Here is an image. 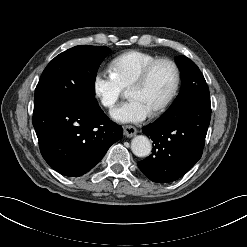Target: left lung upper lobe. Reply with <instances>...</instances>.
Masks as SVG:
<instances>
[{
  "instance_id": "left-lung-upper-lobe-1",
  "label": "left lung upper lobe",
  "mask_w": 247,
  "mask_h": 247,
  "mask_svg": "<svg viewBox=\"0 0 247 247\" xmlns=\"http://www.w3.org/2000/svg\"><path fill=\"white\" fill-rule=\"evenodd\" d=\"M176 62L182 74L183 84L181 92L168 110L180 109L199 95H209V88L197 65L185 56L176 57Z\"/></svg>"
}]
</instances>
